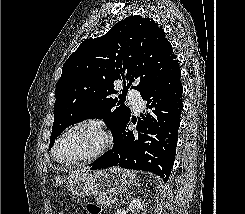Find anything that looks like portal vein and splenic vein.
Masks as SVG:
<instances>
[{"instance_id": "18ae733b", "label": "portal vein and splenic vein", "mask_w": 245, "mask_h": 214, "mask_svg": "<svg viewBox=\"0 0 245 214\" xmlns=\"http://www.w3.org/2000/svg\"><path fill=\"white\" fill-rule=\"evenodd\" d=\"M111 203H112V204H115V203H116V200H111Z\"/></svg>"}]
</instances>
